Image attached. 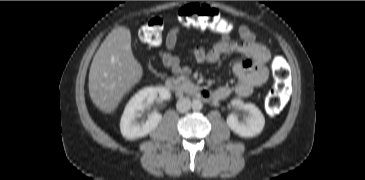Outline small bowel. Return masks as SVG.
Returning <instances> with one entry per match:
<instances>
[{
    "mask_svg": "<svg viewBox=\"0 0 365 180\" xmlns=\"http://www.w3.org/2000/svg\"><path fill=\"white\" fill-rule=\"evenodd\" d=\"M181 31V27L174 26L167 32L164 45L159 50V56L163 65L174 74L188 76L191 69L182 65L179 57L174 54ZM238 34L241 42L232 41L229 31H226L213 45L209 47L196 46L190 51L191 56L198 63L217 62L225 55L240 57L232 66V73L238 79V83L233 87L221 86L217 88L213 95L216 100L225 99L231 94L248 97L269 77L267 67L271 58L269 50L256 41L255 34L248 26L241 25L238 28Z\"/></svg>",
    "mask_w": 365,
    "mask_h": 180,
    "instance_id": "c3829d8e",
    "label": "small bowel"
}]
</instances>
